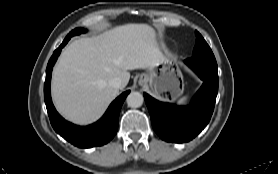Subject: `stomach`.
Masks as SVG:
<instances>
[{
    "mask_svg": "<svg viewBox=\"0 0 278 174\" xmlns=\"http://www.w3.org/2000/svg\"><path fill=\"white\" fill-rule=\"evenodd\" d=\"M155 96L162 100L175 101L184 90V81L181 71L174 68V63L165 59L153 70L142 74Z\"/></svg>",
    "mask_w": 278,
    "mask_h": 174,
    "instance_id": "1",
    "label": "stomach"
}]
</instances>
